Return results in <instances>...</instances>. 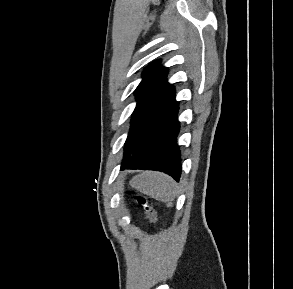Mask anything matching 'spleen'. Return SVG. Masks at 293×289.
<instances>
[{"label": "spleen", "mask_w": 293, "mask_h": 289, "mask_svg": "<svg viewBox=\"0 0 293 289\" xmlns=\"http://www.w3.org/2000/svg\"><path fill=\"white\" fill-rule=\"evenodd\" d=\"M129 184L132 188L160 201H173L177 195L173 179L159 172H142L134 176Z\"/></svg>", "instance_id": "3e777b00"}]
</instances>
